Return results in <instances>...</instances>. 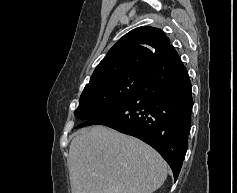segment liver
<instances>
[{
	"mask_svg": "<svg viewBox=\"0 0 237 193\" xmlns=\"http://www.w3.org/2000/svg\"><path fill=\"white\" fill-rule=\"evenodd\" d=\"M68 164L72 193H153L167 177L152 147L105 126L76 134Z\"/></svg>",
	"mask_w": 237,
	"mask_h": 193,
	"instance_id": "liver-1",
	"label": "liver"
}]
</instances>
